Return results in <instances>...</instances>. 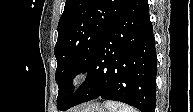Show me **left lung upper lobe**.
<instances>
[{"label": "left lung upper lobe", "mask_w": 193, "mask_h": 112, "mask_svg": "<svg viewBox=\"0 0 193 112\" xmlns=\"http://www.w3.org/2000/svg\"><path fill=\"white\" fill-rule=\"evenodd\" d=\"M132 0H67L58 23L55 45L60 109L74 89L72 80L84 72L106 32Z\"/></svg>", "instance_id": "5c2ea615"}]
</instances>
